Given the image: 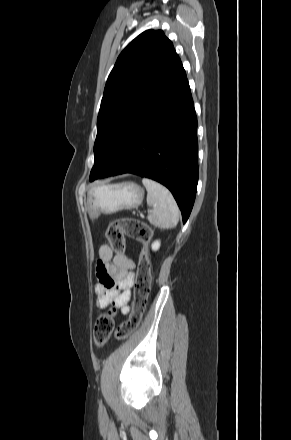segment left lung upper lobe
<instances>
[{"instance_id":"1","label":"left lung upper lobe","mask_w":291,"mask_h":440,"mask_svg":"<svg viewBox=\"0 0 291 440\" xmlns=\"http://www.w3.org/2000/svg\"><path fill=\"white\" fill-rule=\"evenodd\" d=\"M181 60L161 30H147L119 55L97 118L90 181L106 168L135 121L172 77Z\"/></svg>"}]
</instances>
